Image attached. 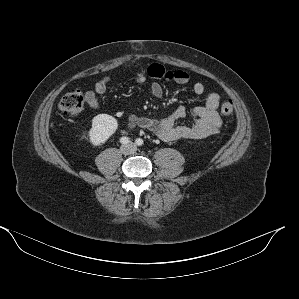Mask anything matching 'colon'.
Returning <instances> with one entry per match:
<instances>
[{
    "instance_id": "obj_1",
    "label": "colon",
    "mask_w": 299,
    "mask_h": 299,
    "mask_svg": "<svg viewBox=\"0 0 299 299\" xmlns=\"http://www.w3.org/2000/svg\"><path fill=\"white\" fill-rule=\"evenodd\" d=\"M85 102V96L81 90H73L66 93L58 104V111L64 116L78 115ZM220 111L225 117H230L234 111L233 101L231 99H223L220 104Z\"/></svg>"
}]
</instances>
